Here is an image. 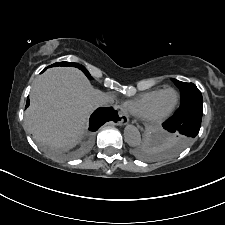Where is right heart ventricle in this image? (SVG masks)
Wrapping results in <instances>:
<instances>
[{
	"label": "right heart ventricle",
	"instance_id": "obj_1",
	"mask_svg": "<svg viewBox=\"0 0 225 225\" xmlns=\"http://www.w3.org/2000/svg\"><path fill=\"white\" fill-rule=\"evenodd\" d=\"M160 90L161 89H157L140 94L138 97L127 103V109L132 114L141 117Z\"/></svg>",
	"mask_w": 225,
	"mask_h": 225
}]
</instances>
